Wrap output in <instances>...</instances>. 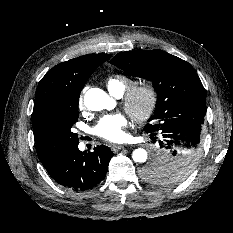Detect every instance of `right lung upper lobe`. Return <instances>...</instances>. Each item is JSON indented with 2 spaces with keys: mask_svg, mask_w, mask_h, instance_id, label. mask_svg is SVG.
I'll use <instances>...</instances> for the list:
<instances>
[{
  "mask_svg": "<svg viewBox=\"0 0 233 233\" xmlns=\"http://www.w3.org/2000/svg\"><path fill=\"white\" fill-rule=\"evenodd\" d=\"M110 57L108 54H89L54 66L37 87L32 117L44 107L79 99L87 79Z\"/></svg>",
  "mask_w": 233,
  "mask_h": 233,
  "instance_id": "obj_1",
  "label": "right lung upper lobe"
}]
</instances>
